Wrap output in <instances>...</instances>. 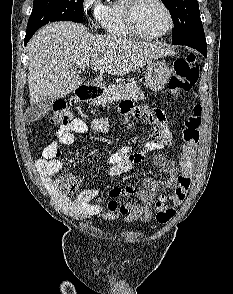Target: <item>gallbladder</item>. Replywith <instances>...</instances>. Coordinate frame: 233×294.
<instances>
[{"instance_id":"gallbladder-1","label":"gallbladder","mask_w":233,"mask_h":294,"mask_svg":"<svg viewBox=\"0 0 233 294\" xmlns=\"http://www.w3.org/2000/svg\"><path fill=\"white\" fill-rule=\"evenodd\" d=\"M52 105L53 99L50 97H44L32 105L28 116L30 119H39L51 110Z\"/></svg>"}]
</instances>
